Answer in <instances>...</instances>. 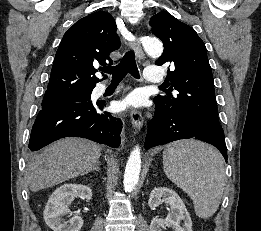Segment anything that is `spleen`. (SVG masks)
I'll list each match as a JSON object with an SVG mask.
<instances>
[{"mask_svg": "<svg viewBox=\"0 0 261 231\" xmlns=\"http://www.w3.org/2000/svg\"><path fill=\"white\" fill-rule=\"evenodd\" d=\"M163 168L190 196L199 217L209 218L217 211L225 186L224 161L218 150L194 139L175 141L163 151Z\"/></svg>", "mask_w": 261, "mask_h": 231, "instance_id": "3e777b00", "label": "spleen"}]
</instances>
